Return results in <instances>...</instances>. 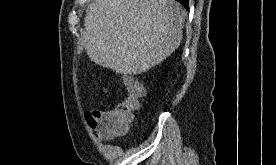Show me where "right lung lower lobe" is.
<instances>
[{
  "label": "right lung lower lobe",
  "mask_w": 276,
  "mask_h": 165,
  "mask_svg": "<svg viewBox=\"0 0 276 165\" xmlns=\"http://www.w3.org/2000/svg\"><path fill=\"white\" fill-rule=\"evenodd\" d=\"M180 2L187 10L189 9L188 0H176Z\"/></svg>",
  "instance_id": "98d812e1"
}]
</instances>
